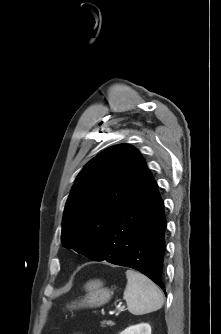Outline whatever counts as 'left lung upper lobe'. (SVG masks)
Here are the masks:
<instances>
[{
  "instance_id": "1",
  "label": "left lung upper lobe",
  "mask_w": 221,
  "mask_h": 334,
  "mask_svg": "<svg viewBox=\"0 0 221 334\" xmlns=\"http://www.w3.org/2000/svg\"><path fill=\"white\" fill-rule=\"evenodd\" d=\"M147 171L140 152L128 144L109 147L89 161L66 202L64 247L95 260L111 221Z\"/></svg>"
}]
</instances>
